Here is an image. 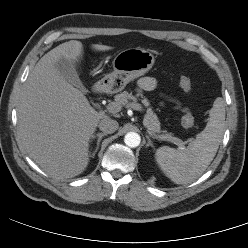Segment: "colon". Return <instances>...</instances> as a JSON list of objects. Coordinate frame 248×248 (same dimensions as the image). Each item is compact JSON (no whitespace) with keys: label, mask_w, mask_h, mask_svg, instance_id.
<instances>
[{"label":"colon","mask_w":248,"mask_h":248,"mask_svg":"<svg viewBox=\"0 0 248 248\" xmlns=\"http://www.w3.org/2000/svg\"><path fill=\"white\" fill-rule=\"evenodd\" d=\"M180 87L185 91H190L191 82L189 78L182 76L179 80ZM181 124L185 129H191L194 126V117L191 113H186L181 120Z\"/></svg>","instance_id":"5ec220e1"}]
</instances>
